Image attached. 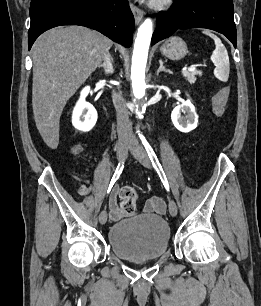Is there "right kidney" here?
I'll return each mask as SVG.
<instances>
[{
    "label": "right kidney",
    "instance_id": "ca27d5eb",
    "mask_svg": "<svg viewBox=\"0 0 261 306\" xmlns=\"http://www.w3.org/2000/svg\"><path fill=\"white\" fill-rule=\"evenodd\" d=\"M90 92V87H85L80 94V99L78 100L76 106L74 107L72 114V124L73 126L81 131H90L97 121V111L85 98Z\"/></svg>",
    "mask_w": 261,
    "mask_h": 306
}]
</instances>
